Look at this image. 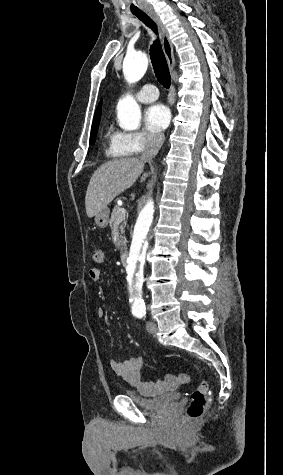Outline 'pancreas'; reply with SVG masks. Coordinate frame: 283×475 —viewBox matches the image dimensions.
Returning <instances> with one entry per match:
<instances>
[{"label":"pancreas","mask_w":283,"mask_h":475,"mask_svg":"<svg viewBox=\"0 0 283 475\" xmlns=\"http://www.w3.org/2000/svg\"><path fill=\"white\" fill-rule=\"evenodd\" d=\"M125 218V214H122V208H119V206H115L112 214H111V220H110V224H116V222H122V220H124ZM125 224V222H124ZM121 228V234H124L123 230V226H120ZM120 238H125V236H120ZM126 239H121V245H123V249H125L126 247Z\"/></svg>","instance_id":"cf45deb5"}]
</instances>
